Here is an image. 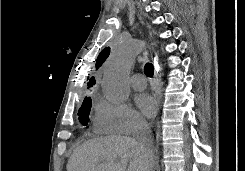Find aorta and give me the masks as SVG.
<instances>
[{
  "instance_id": "obj_1",
  "label": "aorta",
  "mask_w": 245,
  "mask_h": 171,
  "mask_svg": "<svg viewBox=\"0 0 245 171\" xmlns=\"http://www.w3.org/2000/svg\"><path fill=\"white\" fill-rule=\"evenodd\" d=\"M145 42L135 38L124 39L109 58L103 74L102 90L105 97L115 103L130 96L128 76Z\"/></svg>"
}]
</instances>
